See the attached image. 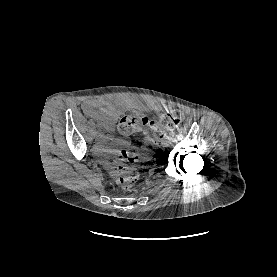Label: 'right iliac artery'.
<instances>
[{"label":"right iliac artery","instance_id":"1","mask_svg":"<svg viewBox=\"0 0 277 277\" xmlns=\"http://www.w3.org/2000/svg\"><path fill=\"white\" fill-rule=\"evenodd\" d=\"M94 133H95V135H98V136H99V135H100V130H95Z\"/></svg>","mask_w":277,"mask_h":277}]
</instances>
